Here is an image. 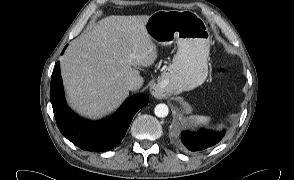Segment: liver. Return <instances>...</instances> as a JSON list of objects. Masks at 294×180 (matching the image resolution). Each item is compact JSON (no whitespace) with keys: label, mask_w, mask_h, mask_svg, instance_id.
Here are the masks:
<instances>
[{"label":"liver","mask_w":294,"mask_h":180,"mask_svg":"<svg viewBox=\"0 0 294 180\" xmlns=\"http://www.w3.org/2000/svg\"><path fill=\"white\" fill-rule=\"evenodd\" d=\"M149 17L108 16L70 43L60 67L68 103L79 114L99 119L114 111L129 95L128 80L154 63Z\"/></svg>","instance_id":"obj_1"}]
</instances>
